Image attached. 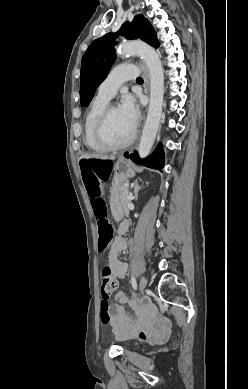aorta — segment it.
<instances>
[{
	"mask_svg": "<svg viewBox=\"0 0 248 389\" xmlns=\"http://www.w3.org/2000/svg\"><path fill=\"white\" fill-rule=\"evenodd\" d=\"M120 55H138L146 63L150 74V101L146 122L143 128L138 153L145 158L153 144L158 132L164 97V71L159 54L143 42L123 43L119 50Z\"/></svg>",
	"mask_w": 248,
	"mask_h": 389,
	"instance_id": "obj_1",
	"label": "aorta"
}]
</instances>
